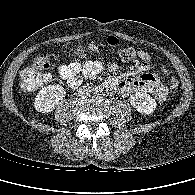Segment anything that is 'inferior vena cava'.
<instances>
[{
	"label": "inferior vena cava",
	"mask_w": 195,
	"mask_h": 195,
	"mask_svg": "<svg viewBox=\"0 0 195 195\" xmlns=\"http://www.w3.org/2000/svg\"><path fill=\"white\" fill-rule=\"evenodd\" d=\"M92 88L91 87H89V86H83L81 89H80V93H81V95H83V96H88V95H90V94H92Z\"/></svg>",
	"instance_id": "602c4592"
}]
</instances>
